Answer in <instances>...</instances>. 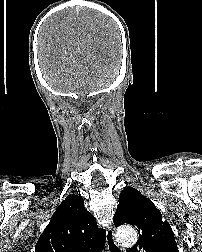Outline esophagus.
<instances>
[{
    "label": "esophagus",
    "instance_id": "esophagus-1",
    "mask_svg": "<svg viewBox=\"0 0 202 252\" xmlns=\"http://www.w3.org/2000/svg\"><path fill=\"white\" fill-rule=\"evenodd\" d=\"M106 246L109 252H122L121 247L116 242L114 237V229L109 227L106 233Z\"/></svg>",
    "mask_w": 202,
    "mask_h": 252
}]
</instances>
